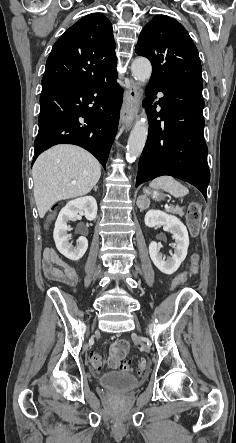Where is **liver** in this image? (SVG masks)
<instances>
[{"instance_id":"6515ba94","label":"liver","mask_w":236,"mask_h":443,"mask_svg":"<svg viewBox=\"0 0 236 443\" xmlns=\"http://www.w3.org/2000/svg\"><path fill=\"white\" fill-rule=\"evenodd\" d=\"M40 218L59 201L88 194L101 176V165L86 150L69 144L42 153L32 168Z\"/></svg>"}]
</instances>
